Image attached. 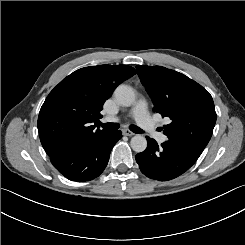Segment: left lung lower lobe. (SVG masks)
Here are the masks:
<instances>
[{
  "label": "left lung lower lobe",
  "instance_id": "obj_1",
  "mask_svg": "<svg viewBox=\"0 0 245 245\" xmlns=\"http://www.w3.org/2000/svg\"><path fill=\"white\" fill-rule=\"evenodd\" d=\"M146 138V150L137 154L135 158L141 172L150 179H175L184 174L201 155V152L188 149L170 139L159 146L154 139Z\"/></svg>",
  "mask_w": 245,
  "mask_h": 245
}]
</instances>
